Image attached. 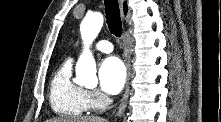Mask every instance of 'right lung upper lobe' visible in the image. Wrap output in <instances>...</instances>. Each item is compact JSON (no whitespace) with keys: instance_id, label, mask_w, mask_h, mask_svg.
<instances>
[{"instance_id":"cb5924a9","label":"right lung upper lobe","mask_w":221,"mask_h":122,"mask_svg":"<svg viewBox=\"0 0 221 122\" xmlns=\"http://www.w3.org/2000/svg\"><path fill=\"white\" fill-rule=\"evenodd\" d=\"M127 8H126V4H124V12L126 13Z\"/></svg>"}]
</instances>
